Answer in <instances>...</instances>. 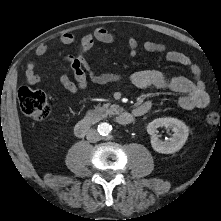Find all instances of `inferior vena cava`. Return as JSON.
Wrapping results in <instances>:
<instances>
[{"label": "inferior vena cava", "mask_w": 221, "mask_h": 221, "mask_svg": "<svg viewBox=\"0 0 221 221\" xmlns=\"http://www.w3.org/2000/svg\"><path fill=\"white\" fill-rule=\"evenodd\" d=\"M86 138L89 142L95 143L100 140V135L95 129H90L87 132Z\"/></svg>", "instance_id": "obj_1"}]
</instances>
